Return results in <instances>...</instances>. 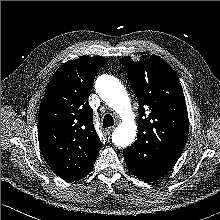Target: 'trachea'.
<instances>
[{
    "label": "trachea",
    "instance_id": "1",
    "mask_svg": "<svg viewBox=\"0 0 220 220\" xmlns=\"http://www.w3.org/2000/svg\"><path fill=\"white\" fill-rule=\"evenodd\" d=\"M113 125H114L113 117L110 114H106L103 118L102 126L104 128H106V127H110V126H113Z\"/></svg>",
    "mask_w": 220,
    "mask_h": 220
}]
</instances>
